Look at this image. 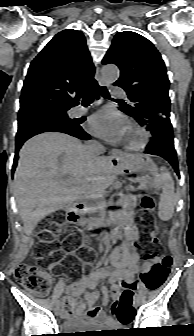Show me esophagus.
Here are the masks:
<instances>
[{
	"label": "esophagus",
	"instance_id": "obj_1",
	"mask_svg": "<svg viewBox=\"0 0 194 336\" xmlns=\"http://www.w3.org/2000/svg\"><path fill=\"white\" fill-rule=\"evenodd\" d=\"M99 85L100 86H108V84L106 82H104L103 80L99 81ZM122 155H123V153L119 149H112L110 151V156H111L112 160H116L119 157H121Z\"/></svg>",
	"mask_w": 194,
	"mask_h": 336
}]
</instances>
